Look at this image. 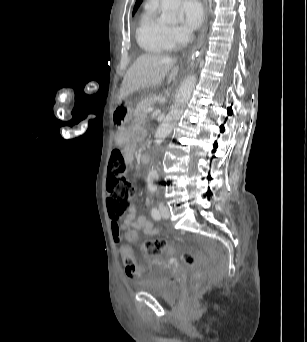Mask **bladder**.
<instances>
[{
  "instance_id": "1",
  "label": "bladder",
  "mask_w": 307,
  "mask_h": 342,
  "mask_svg": "<svg viewBox=\"0 0 307 342\" xmlns=\"http://www.w3.org/2000/svg\"><path fill=\"white\" fill-rule=\"evenodd\" d=\"M139 288L154 296L169 299L176 291V284L168 277L163 268L154 267L140 281Z\"/></svg>"
}]
</instances>
